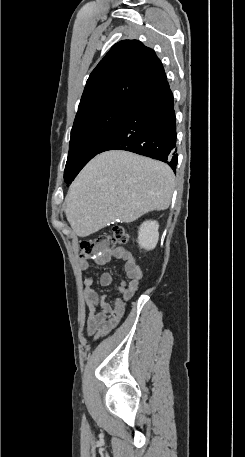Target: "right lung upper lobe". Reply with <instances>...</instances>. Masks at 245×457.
<instances>
[{"instance_id":"1","label":"right lung upper lobe","mask_w":245,"mask_h":457,"mask_svg":"<svg viewBox=\"0 0 245 457\" xmlns=\"http://www.w3.org/2000/svg\"><path fill=\"white\" fill-rule=\"evenodd\" d=\"M155 52L137 40L116 43L87 80L77 115L118 103L132 106L144 93L166 82Z\"/></svg>"}]
</instances>
